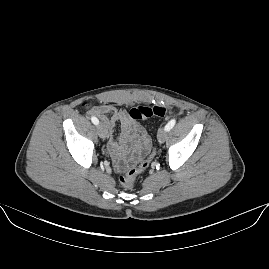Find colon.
I'll list each match as a JSON object with an SVG mask.
<instances>
[{
  "label": "colon",
  "instance_id": "colon-1",
  "mask_svg": "<svg viewBox=\"0 0 269 269\" xmlns=\"http://www.w3.org/2000/svg\"><path fill=\"white\" fill-rule=\"evenodd\" d=\"M168 113L167 108L164 106L156 105L152 107L146 106H135L130 109V117L134 120H144L152 116L164 118ZM153 152L147 150L141 155L139 163L136 167H131L127 170H124V173L120 176V184L126 189H130L134 186L135 180L138 175L144 171L152 158Z\"/></svg>",
  "mask_w": 269,
  "mask_h": 269
}]
</instances>
